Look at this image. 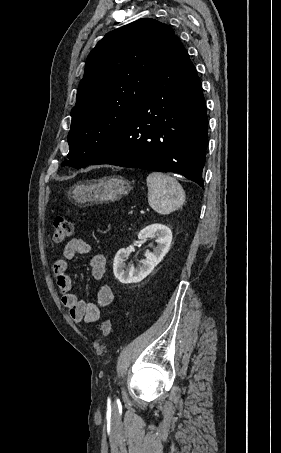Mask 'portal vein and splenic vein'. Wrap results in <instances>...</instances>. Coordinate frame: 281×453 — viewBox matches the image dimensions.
<instances>
[{"label":"portal vein and splenic vein","instance_id":"1","mask_svg":"<svg viewBox=\"0 0 281 453\" xmlns=\"http://www.w3.org/2000/svg\"><path fill=\"white\" fill-rule=\"evenodd\" d=\"M147 211H150V208H147ZM129 212L131 213L132 211L130 210ZM139 212L140 213L142 212L141 214L143 215L145 213V210H142V211L140 210Z\"/></svg>","mask_w":281,"mask_h":453}]
</instances>
